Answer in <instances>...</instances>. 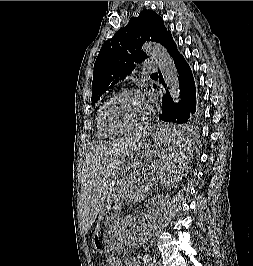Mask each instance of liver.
Wrapping results in <instances>:
<instances>
[{
  "label": "liver",
  "mask_w": 253,
  "mask_h": 266,
  "mask_svg": "<svg viewBox=\"0 0 253 266\" xmlns=\"http://www.w3.org/2000/svg\"><path fill=\"white\" fill-rule=\"evenodd\" d=\"M143 138V136L120 138L95 145L87 152L83 170V221L86 232L105 206L109 177L117 163Z\"/></svg>",
  "instance_id": "1"
}]
</instances>
